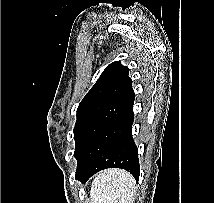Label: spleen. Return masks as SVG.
<instances>
[{"instance_id":"1","label":"spleen","mask_w":214,"mask_h":203,"mask_svg":"<svg viewBox=\"0 0 214 203\" xmlns=\"http://www.w3.org/2000/svg\"><path fill=\"white\" fill-rule=\"evenodd\" d=\"M135 180L119 169L106 170L96 175L90 191V203H133Z\"/></svg>"}]
</instances>
